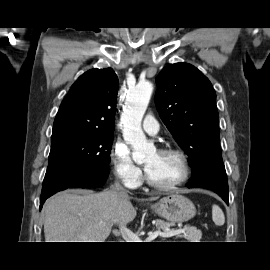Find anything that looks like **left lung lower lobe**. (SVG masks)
I'll use <instances>...</instances> for the list:
<instances>
[{
    "label": "left lung lower lobe",
    "instance_id": "0a47b994",
    "mask_svg": "<svg viewBox=\"0 0 270 270\" xmlns=\"http://www.w3.org/2000/svg\"><path fill=\"white\" fill-rule=\"evenodd\" d=\"M188 188H205L216 192L227 204L228 182L225 167L212 166L198 178L186 184Z\"/></svg>",
    "mask_w": 270,
    "mask_h": 270
}]
</instances>
